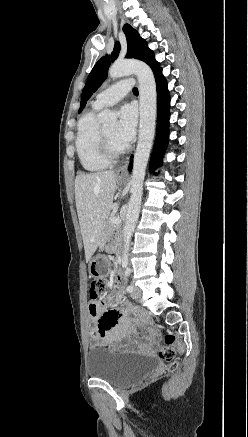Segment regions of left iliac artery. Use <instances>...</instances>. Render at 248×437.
<instances>
[{"instance_id":"1","label":"left iliac artery","mask_w":248,"mask_h":437,"mask_svg":"<svg viewBox=\"0 0 248 437\" xmlns=\"http://www.w3.org/2000/svg\"><path fill=\"white\" fill-rule=\"evenodd\" d=\"M130 273H131L130 268H127L125 271V276L128 277L130 275ZM132 290H133V287L131 285L127 286V288H126L127 292L130 293V292H132Z\"/></svg>"}]
</instances>
